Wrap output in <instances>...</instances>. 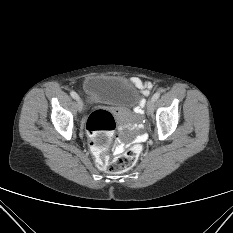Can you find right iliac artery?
Listing matches in <instances>:
<instances>
[{
    "instance_id": "right-iliac-artery-1",
    "label": "right iliac artery",
    "mask_w": 233,
    "mask_h": 233,
    "mask_svg": "<svg viewBox=\"0 0 233 233\" xmlns=\"http://www.w3.org/2000/svg\"><path fill=\"white\" fill-rule=\"evenodd\" d=\"M70 95H71L74 99L77 97V94H76V92H74V91H71V92H70Z\"/></svg>"
}]
</instances>
